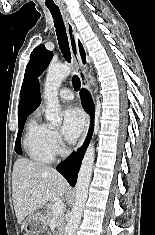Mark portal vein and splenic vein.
<instances>
[{"mask_svg": "<svg viewBox=\"0 0 155 235\" xmlns=\"http://www.w3.org/2000/svg\"><path fill=\"white\" fill-rule=\"evenodd\" d=\"M64 211V203L60 200H57L53 206V214L55 216L60 215Z\"/></svg>", "mask_w": 155, "mask_h": 235, "instance_id": "1", "label": "portal vein and splenic vein"}]
</instances>
